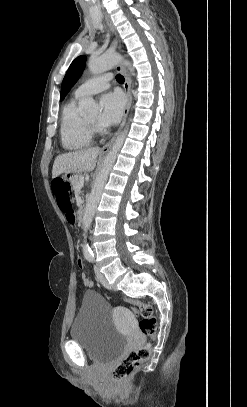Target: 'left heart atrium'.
I'll return each mask as SVG.
<instances>
[{
	"label": "left heart atrium",
	"mask_w": 247,
	"mask_h": 407,
	"mask_svg": "<svg viewBox=\"0 0 247 407\" xmlns=\"http://www.w3.org/2000/svg\"><path fill=\"white\" fill-rule=\"evenodd\" d=\"M102 112L99 116V124L107 127L116 124L122 114L124 98L119 92H110L101 98Z\"/></svg>",
	"instance_id": "obj_1"
}]
</instances>
